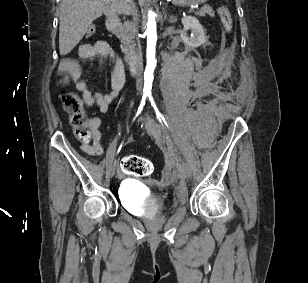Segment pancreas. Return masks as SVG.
I'll list each match as a JSON object with an SVG mask.
<instances>
[{
    "mask_svg": "<svg viewBox=\"0 0 308 283\" xmlns=\"http://www.w3.org/2000/svg\"><path fill=\"white\" fill-rule=\"evenodd\" d=\"M206 14L210 16L213 15L211 7H205L199 12H197L198 16L205 17ZM136 35V27L135 23L130 21H125L122 26L119 28L118 37L121 40V48L123 52L133 54L136 43L134 41Z\"/></svg>",
    "mask_w": 308,
    "mask_h": 283,
    "instance_id": "1",
    "label": "pancreas"
}]
</instances>
